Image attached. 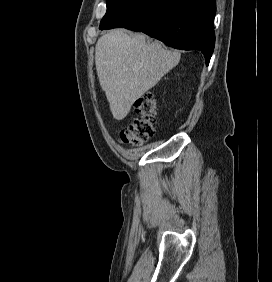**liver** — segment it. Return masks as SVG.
I'll use <instances>...</instances> for the list:
<instances>
[{"mask_svg":"<svg viewBox=\"0 0 272 282\" xmlns=\"http://www.w3.org/2000/svg\"><path fill=\"white\" fill-rule=\"evenodd\" d=\"M178 51L164 49L145 35L129 36L116 29L98 39L95 64L100 86L116 120H123L133 103L175 67Z\"/></svg>","mask_w":272,"mask_h":282,"instance_id":"6515ba94","label":"liver"}]
</instances>
